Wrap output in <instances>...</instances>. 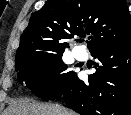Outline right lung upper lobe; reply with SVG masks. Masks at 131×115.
I'll list each match as a JSON object with an SVG mask.
<instances>
[{
  "mask_svg": "<svg viewBox=\"0 0 131 115\" xmlns=\"http://www.w3.org/2000/svg\"><path fill=\"white\" fill-rule=\"evenodd\" d=\"M92 34L90 53L131 41L125 0H49L33 13L24 30L15 63L34 53L64 52L74 36Z\"/></svg>",
  "mask_w": 131,
  "mask_h": 115,
  "instance_id": "cb5924a9",
  "label": "right lung upper lobe"
}]
</instances>
